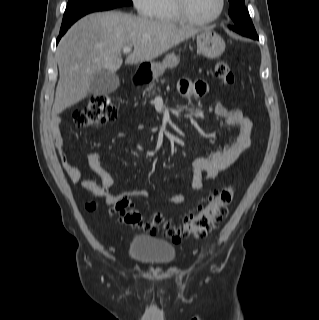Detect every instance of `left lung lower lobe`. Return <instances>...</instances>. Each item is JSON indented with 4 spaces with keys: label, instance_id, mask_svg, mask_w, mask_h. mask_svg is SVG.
Instances as JSON below:
<instances>
[{
    "label": "left lung lower lobe",
    "instance_id": "obj_1",
    "mask_svg": "<svg viewBox=\"0 0 319 320\" xmlns=\"http://www.w3.org/2000/svg\"><path fill=\"white\" fill-rule=\"evenodd\" d=\"M230 28L243 36H247V37H250V38L256 39V40L259 39L256 31H248L246 29H242V28H239L236 26L230 27Z\"/></svg>",
    "mask_w": 319,
    "mask_h": 320
}]
</instances>
